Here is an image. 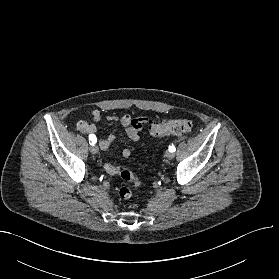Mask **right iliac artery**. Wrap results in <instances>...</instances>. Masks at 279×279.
<instances>
[{
  "mask_svg": "<svg viewBox=\"0 0 279 279\" xmlns=\"http://www.w3.org/2000/svg\"><path fill=\"white\" fill-rule=\"evenodd\" d=\"M97 139L95 137V135H89V143L91 145H94L96 143Z\"/></svg>",
  "mask_w": 279,
  "mask_h": 279,
  "instance_id": "82829eb1",
  "label": "right iliac artery"
}]
</instances>
